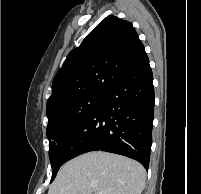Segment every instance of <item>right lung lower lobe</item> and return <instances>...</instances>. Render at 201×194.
Here are the masks:
<instances>
[{
    "mask_svg": "<svg viewBox=\"0 0 201 194\" xmlns=\"http://www.w3.org/2000/svg\"><path fill=\"white\" fill-rule=\"evenodd\" d=\"M154 113L153 75L148 57L112 86L98 106L62 140L58 165L90 151L127 156L148 169Z\"/></svg>",
    "mask_w": 201,
    "mask_h": 194,
    "instance_id": "98d812e1",
    "label": "right lung lower lobe"
}]
</instances>
